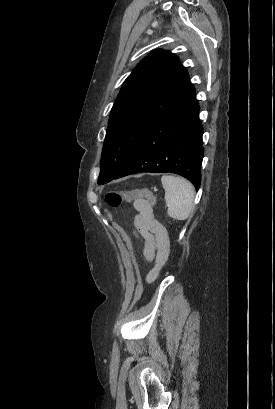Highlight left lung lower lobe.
<instances>
[{
  "label": "left lung lower lobe",
  "instance_id": "1",
  "mask_svg": "<svg viewBox=\"0 0 275 409\" xmlns=\"http://www.w3.org/2000/svg\"><path fill=\"white\" fill-rule=\"evenodd\" d=\"M195 91L162 115L129 154L114 179L140 172L176 173L201 183L203 126Z\"/></svg>",
  "mask_w": 275,
  "mask_h": 409
}]
</instances>
